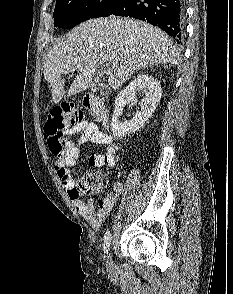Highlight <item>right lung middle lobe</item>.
Returning <instances> with one entry per match:
<instances>
[{
    "label": "right lung middle lobe",
    "instance_id": "obj_1",
    "mask_svg": "<svg viewBox=\"0 0 233 294\" xmlns=\"http://www.w3.org/2000/svg\"><path fill=\"white\" fill-rule=\"evenodd\" d=\"M123 0H56L54 26L70 29L90 18L108 16Z\"/></svg>",
    "mask_w": 233,
    "mask_h": 294
}]
</instances>
